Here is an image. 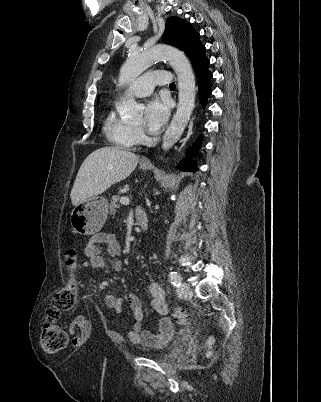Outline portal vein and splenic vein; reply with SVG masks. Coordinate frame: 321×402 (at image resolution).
<instances>
[{"instance_id": "1", "label": "portal vein and splenic vein", "mask_w": 321, "mask_h": 402, "mask_svg": "<svg viewBox=\"0 0 321 402\" xmlns=\"http://www.w3.org/2000/svg\"><path fill=\"white\" fill-rule=\"evenodd\" d=\"M120 203H121V204H129V198H127V197H121Z\"/></svg>"}]
</instances>
